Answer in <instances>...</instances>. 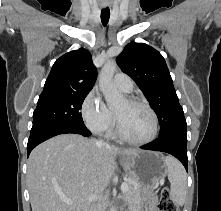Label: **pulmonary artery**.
<instances>
[{
  "instance_id": "obj_1",
  "label": "pulmonary artery",
  "mask_w": 221,
  "mask_h": 211,
  "mask_svg": "<svg viewBox=\"0 0 221 211\" xmlns=\"http://www.w3.org/2000/svg\"><path fill=\"white\" fill-rule=\"evenodd\" d=\"M114 84L118 89L125 93L131 92L133 88L132 79L125 73H117L114 76Z\"/></svg>"
}]
</instances>
